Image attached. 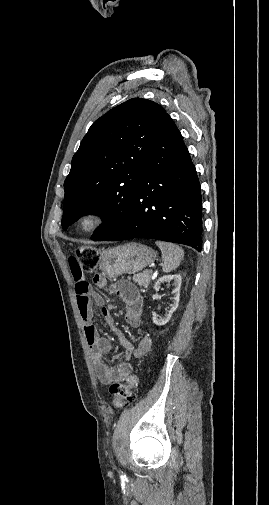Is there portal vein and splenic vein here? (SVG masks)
<instances>
[{
  "label": "portal vein and splenic vein",
  "instance_id": "1",
  "mask_svg": "<svg viewBox=\"0 0 269 505\" xmlns=\"http://www.w3.org/2000/svg\"><path fill=\"white\" fill-rule=\"evenodd\" d=\"M150 273H152L153 271L152 270H149Z\"/></svg>",
  "mask_w": 269,
  "mask_h": 505
}]
</instances>
